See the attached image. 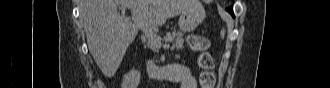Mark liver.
I'll use <instances>...</instances> for the list:
<instances>
[{
    "instance_id": "obj_1",
    "label": "liver",
    "mask_w": 330,
    "mask_h": 88,
    "mask_svg": "<svg viewBox=\"0 0 330 88\" xmlns=\"http://www.w3.org/2000/svg\"><path fill=\"white\" fill-rule=\"evenodd\" d=\"M140 10L151 27L189 9L192 0H81L80 18L90 53L100 70L112 77L119 68L139 26L118 13V6Z\"/></svg>"
}]
</instances>
